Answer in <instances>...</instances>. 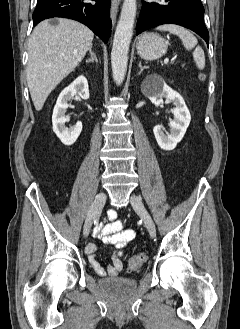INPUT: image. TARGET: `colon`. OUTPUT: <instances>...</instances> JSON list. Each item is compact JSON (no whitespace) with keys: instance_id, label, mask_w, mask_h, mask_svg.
<instances>
[{"instance_id":"colon-1","label":"colon","mask_w":240,"mask_h":329,"mask_svg":"<svg viewBox=\"0 0 240 329\" xmlns=\"http://www.w3.org/2000/svg\"><path fill=\"white\" fill-rule=\"evenodd\" d=\"M145 254H136L133 257L130 258L129 263H128V267L130 270H136L138 268H140L142 266V264L145 261Z\"/></svg>"}]
</instances>
